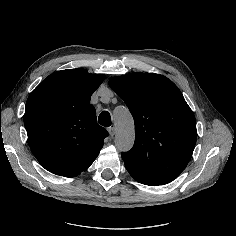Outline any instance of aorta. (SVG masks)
Masks as SVG:
<instances>
[{
	"instance_id": "aorta-1",
	"label": "aorta",
	"mask_w": 236,
	"mask_h": 236,
	"mask_svg": "<svg viewBox=\"0 0 236 236\" xmlns=\"http://www.w3.org/2000/svg\"><path fill=\"white\" fill-rule=\"evenodd\" d=\"M114 120L117 129L115 145L120 151H128L135 140L133 117L127 108L120 107L114 112Z\"/></svg>"
}]
</instances>
